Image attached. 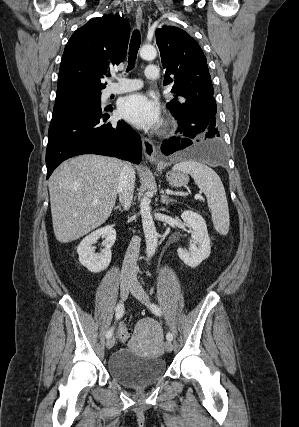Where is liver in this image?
<instances>
[{
  "instance_id": "6515ba94",
  "label": "liver",
  "mask_w": 299,
  "mask_h": 427,
  "mask_svg": "<svg viewBox=\"0 0 299 427\" xmlns=\"http://www.w3.org/2000/svg\"><path fill=\"white\" fill-rule=\"evenodd\" d=\"M122 168L117 158L85 154L54 171L48 187L53 230L59 242L74 241L109 218Z\"/></svg>"
}]
</instances>
